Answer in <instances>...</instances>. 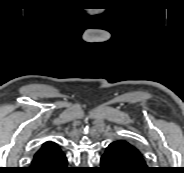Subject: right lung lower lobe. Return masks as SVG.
<instances>
[{
	"mask_svg": "<svg viewBox=\"0 0 184 173\" xmlns=\"http://www.w3.org/2000/svg\"><path fill=\"white\" fill-rule=\"evenodd\" d=\"M27 173H72L67 158L59 146L42 153H36Z\"/></svg>",
	"mask_w": 184,
	"mask_h": 173,
	"instance_id": "1",
	"label": "right lung lower lobe"
}]
</instances>
